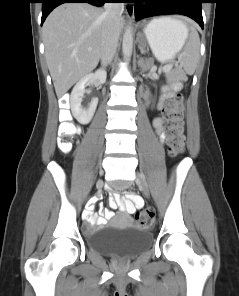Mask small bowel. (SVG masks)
Segmentation results:
<instances>
[{"mask_svg": "<svg viewBox=\"0 0 239 296\" xmlns=\"http://www.w3.org/2000/svg\"><path fill=\"white\" fill-rule=\"evenodd\" d=\"M179 88L178 85L168 86L164 89V94L159 102V109H163L164 102L174 96L175 91ZM164 118L157 117L153 121L154 128L157 134L160 136L161 140H165L164 132ZM144 205L143 200L135 194H127L122 197L119 193H114L109 199V206L111 209H119L122 213L126 215H131L134 213L136 208L142 207ZM85 217L92 225H104L109 219L113 217V212L108 209H102L100 215L86 211ZM88 232H92L88 228Z\"/></svg>", "mask_w": 239, "mask_h": 296, "instance_id": "c3829d8e", "label": "small bowel"}]
</instances>
